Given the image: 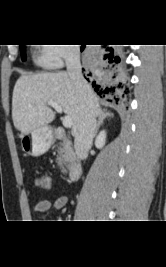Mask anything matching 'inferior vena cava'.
Segmentation results:
<instances>
[{"label":"inferior vena cava","mask_w":166,"mask_h":267,"mask_svg":"<svg viewBox=\"0 0 166 267\" xmlns=\"http://www.w3.org/2000/svg\"><path fill=\"white\" fill-rule=\"evenodd\" d=\"M67 74L83 94L80 123L75 134L74 146L77 156L85 159L95 137L96 118L91 88L82 76L79 48H71L66 55Z\"/></svg>","instance_id":"602c4592"}]
</instances>
